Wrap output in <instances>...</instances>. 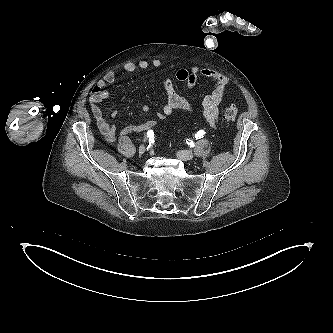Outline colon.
<instances>
[{
    "label": "colon",
    "mask_w": 333,
    "mask_h": 333,
    "mask_svg": "<svg viewBox=\"0 0 333 333\" xmlns=\"http://www.w3.org/2000/svg\"><path fill=\"white\" fill-rule=\"evenodd\" d=\"M238 115V109L234 106H229L224 111V118L227 121H233Z\"/></svg>",
    "instance_id": "obj_1"
}]
</instances>
